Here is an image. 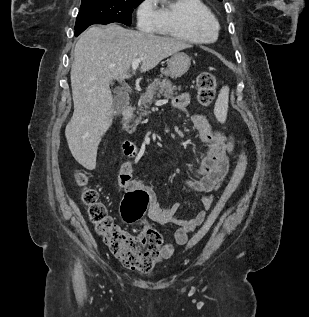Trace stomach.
I'll return each mask as SVG.
<instances>
[{"mask_svg": "<svg viewBox=\"0 0 309 317\" xmlns=\"http://www.w3.org/2000/svg\"><path fill=\"white\" fill-rule=\"evenodd\" d=\"M191 57L184 52L174 53L167 62V69L162 73L172 78L181 77L190 68Z\"/></svg>", "mask_w": 309, "mask_h": 317, "instance_id": "obj_1", "label": "stomach"}]
</instances>
